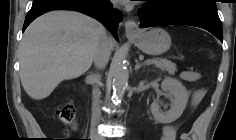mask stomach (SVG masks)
<instances>
[{"label":"stomach","mask_w":236,"mask_h":140,"mask_svg":"<svg viewBox=\"0 0 236 140\" xmlns=\"http://www.w3.org/2000/svg\"><path fill=\"white\" fill-rule=\"evenodd\" d=\"M135 45L144 53L149 55H160L165 53L171 46L169 34L160 28L149 31H138L136 34L128 35Z\"/></svg>","instance_id":"1"}]
</instances>
